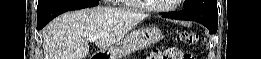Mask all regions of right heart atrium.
<instances>
[{
  "label": "right heart atrium",
  "instance_id": "right-heart-atrium-1",
  "mask_svg": "<svg viewBox=\"0 0 261 59\" xmlns=\"http://www.w3.org/2000/svg\"><path fill=\"white\" fill-rule=\"evenodd\" d=\"M107 1H109V0H105V2H107ZM111 1H113V0H111Z\"/></svg>",
  "mask_w": 261,
  "mask_h": 59
}]
</instances>
